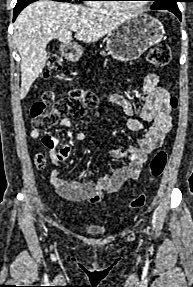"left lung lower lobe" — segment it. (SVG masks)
<instances>
[{"label": "left lung lower lobe", "instance_id": "obj_1", "mask_svg": "<svg viewBox=\"0 0 193 287\" xmlns=\"http://www.w3.org/2000/svg\"><path fill=\"white\" fill-rule=\"evenodd\" d=\"M174 13L181 20V12L178 7L165 9Z\"/></svg>", "mask_w": 193, "mask_h": 287}]
</instances>
